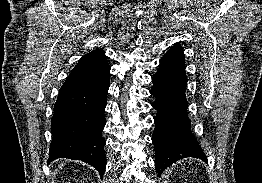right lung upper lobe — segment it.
I'll return each instance as SVG.
<instances>
[{
    "label": "right lung upper lobe",
    "instance_id": "1",
    "mask_svg": "<svg viewBox=\"0 0 262 183\" xmlns=\"http://www.w3.org/2000/svg\"><path fill=\"white\" fill-rule=\"evenodd\" d=\"M105 62H107L105 52L102 49H96L84 55L80 59L79 64H95Z\"/></svg>",
    "mask_w": 262,
    "mask_h": 183
}]
</instances>
